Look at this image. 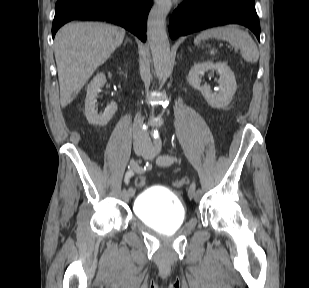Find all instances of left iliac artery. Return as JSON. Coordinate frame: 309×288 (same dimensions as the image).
Wrapping results in <instances>:
<instances>
[{
	"instance_id": "44dca946",
	"label": "left iliac artery",
	"mask_w": 309,
	"mask_h": 288,
	"mask_svg": "<svg viewBox=\"0 0 309 288\" xmlns=\"http://www.w3.org/2000/svg\"><path fill=\"white\" fill-rule=\"evenodd\" d=\"M155 149H156V151L159 153L160 151H161V149H162V141H161V139H159V138H157L156 140H155ZM174 160H175V158L172 156V155H162V156H159L158 158H157V164H159V165H163V166H169V165H171L173 162H174ZM190 190H192L193 191V193L195 194V183H193L191 186H190V188H189V191ZM202 191L199 189V190H197L196 191V194H199V193H201ZM201 195H202V193H201Z\"/></svg>"
}]
</instances>
